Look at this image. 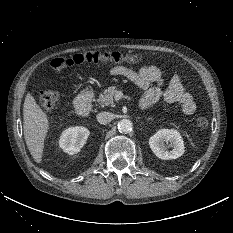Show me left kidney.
Segmentation results:
<instances>
[{
    "label": "left kidney",
    "instance_id": "5707ae66",
    "mask_svg": "<svg viewBox=\"0 0 233 233\" xmlns=\"http://www.w3.org/2000/svg\"><path fill=\"white\" fill-rule=\"evenodd\" d=\"M165 142H170V146L173 149L168 151ZM149 145L153 153L163 160L176 159L185 152L183 139L175 129L158 130L150 137Z\"/></svg>",
    "mask_w": 233,
    "mask_h": 233
}]
</instances>
